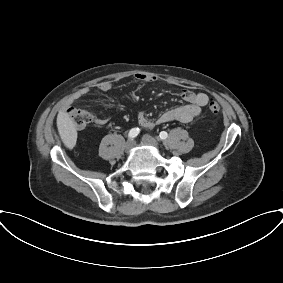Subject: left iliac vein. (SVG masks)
Instances as JSON below:
<instances>
[{"label":"left iliac vein","mask_w":283,"mask_h":283,"mask_svg":"<svg viewBox=\"0 0 283 283\" xmlns=\"http://www.w3.org/2000/svg\"><path fill=\"white\" fill-rule=\"evenodd\" d=\"M142 141H143V143H145V144H148V145H152V146H154V147H158V142L156 141V139H154L152 136H150V135H144L143 137H142Z\"/></svg>","instance_id":"left-iliac-vein-1"}]
</instances>
